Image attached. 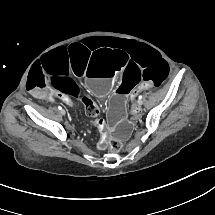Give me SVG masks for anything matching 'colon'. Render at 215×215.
Masks as SVG:
<instances>
[{"mask_svg":"<svg viewBox=\"0 0 215 215\" xmlns=\"http://www.w3.org/2000/svg\"><path fill=\"white\" fill-rule=\"evenodd\" d=\"M84 106H85V113L88 115V116H98L100 114V108L99 106L92 100H86L84 102ZM110 148L113 150V151H118L120 150L121 146H120V143L115 141V140H112L111 143H110Z\"/></svg>","mask_w":215,"mask_h":215,"instance_id":"1","label":"colon"}]
</instances>
